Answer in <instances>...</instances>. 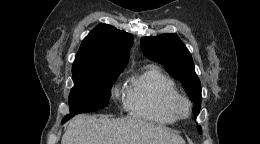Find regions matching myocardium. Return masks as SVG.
Listing matches in <instances>:
<instances>
[{"label":"myocardium","mask_w":260,"mask_h":144,"mask_svg":"<svg viewBox=\"0 0 260 144\" xmlns=\"http://www.w3.org/2000/svg\"><path fill=\"white\" fill-rule=\"evenodd\" d=\"M192 104L190 100L181 95H175L168 101V109L177 119H186L190 116Z\"/></svg>","instance_id":"f54148a6"}]
</instances>
